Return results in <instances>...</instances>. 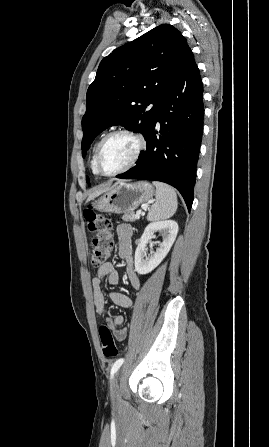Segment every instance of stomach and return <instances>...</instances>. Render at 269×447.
Here are the masks:
<instances>
[{"instance_id":"stomach-1","label":"stomach","mask_w":269,"mask_h":447,"mask_svg":"<svg viewBox=\"0 0 269 447\" xmlns=\"http://www.w3.org/2000/svg\"><path fill=\"white\" fill-rule=\"evenodd\" d=\"M154 194L153 186L149 182H136V184H120L114 186L110 192L95 200L93 206L99 212L110 214H126L138 208L140 204L151 200Z\"/></svg>"}]
</instances>
